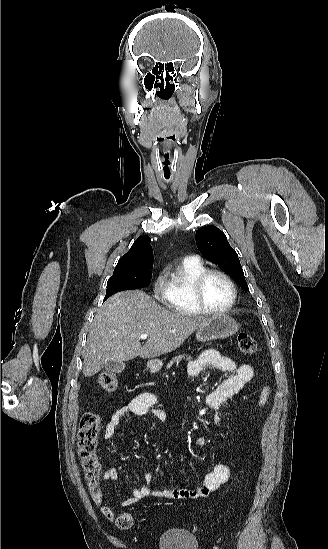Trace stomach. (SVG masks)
Segmentation results:
<instances>
[{"instance_id": "0dacf381", "label": "stomach", "mask_w": 328, "mask_h": 549, "mask_svg": "<svg viewBox=\"0 0 328 549\" xmlns=\"http://www.w3.org/2000/svg\"><path fill=\"white\" fill-rule=\"evenodd\" d=\"M238 331L239 325L235 319H232L229 315H215V317L209 319L204 327L197 329L195 337L200 343H205V341L227 339V337H232ZM162 367L163 363L160 359H152L147 363V369L150 373H158Z\"/></svg>"}]
</instances>
